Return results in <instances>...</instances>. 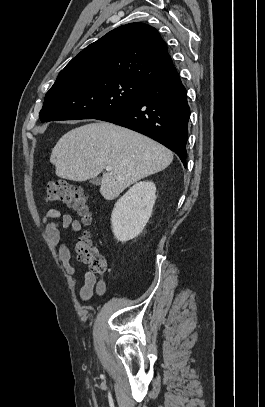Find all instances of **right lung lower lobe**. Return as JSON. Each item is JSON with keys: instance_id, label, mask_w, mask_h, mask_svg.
<instances>
[{"instance_id": "right-lung-lower-lobe-1", "label": "right lung lower lobe", "mask_w": 265, "mask_h": 407, "mask_svg": "<svg viewBox=\"0 0 265 407\" xmlns=\"http://www.w3.org/2000/svg\"><path fill=\"white\" fill-rule=\"evenodd\" d=\"M190 107L177 71L150 86L136 103L96 119L142 133L174 151L186 167Z\"/></svg>"}]
</instances>
